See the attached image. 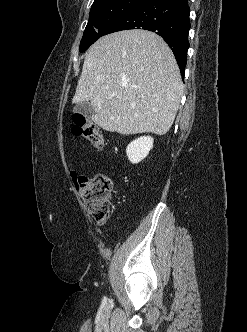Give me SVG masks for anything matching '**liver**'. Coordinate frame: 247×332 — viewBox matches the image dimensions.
Returning <instances> with one entry per match:
<instances>
[{"instance_id":"6515ba94","label":"liver","mask_w":247,"mask_h":332,"mask_svg":"<svg viewBox=\"0 0 247 332\" xmlns=\"http://www.w3.org/2000/svg\"><path fill=\"white\" fill-rule=\"evenodd\" d=\"M182 95L180 71L166 42L134 29L105 35L90 47L72 102L89 103L92 120L106 131L164 135Z\"/></svg>"}]
</instances>
